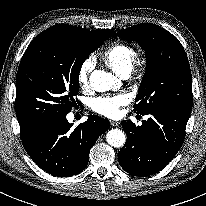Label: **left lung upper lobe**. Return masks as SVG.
Returning a JSON list of instances; mask_svg holds the SVG:
<instances>
[{"instance_id": "5c2ea615", "label": "left lung upper lobe", "mask_w": 206, "mask_h": 206, "mask_svg": "<svg viewBox=\"0 0 206 206\" xmlns=\"http://www.w3.org/2000/svg\"><path fill=\"white\" fill-rule=\"evenodd\" d=\"M118 36L137 41L145 51L146 71L136 97L134 111L144 115L154 107L192 110V75L179 40L167 30L140 23Z\"/></svg>"}]
</instances>
